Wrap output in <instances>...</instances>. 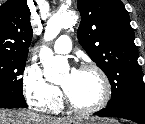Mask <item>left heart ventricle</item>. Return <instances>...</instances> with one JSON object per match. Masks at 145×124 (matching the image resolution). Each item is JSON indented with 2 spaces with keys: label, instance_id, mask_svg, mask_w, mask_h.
Here are the masks:
<instances>
[{
  "label": "left heart ventricle",
  "instance_id": "left-heart-ventricle-1",
  "mask_svg": "<svg viewBox=\"0 0 145 124\" xmlns=\"http://www.w3.org/2000/svg\"><path fill=\"white\" fill-rule=\"evenodd\" d=\"M60 84L73 103L80 107L95 105L103 95L101 79L94 71H66Z\"/></svg>",
  "mask_w": 145,
  "mask_h": 124
}]
</instances>
